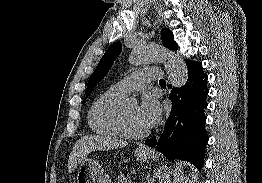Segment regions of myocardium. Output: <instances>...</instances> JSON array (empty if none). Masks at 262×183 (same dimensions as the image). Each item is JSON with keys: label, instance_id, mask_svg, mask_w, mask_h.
I'll list each match as a JSON object with an SVG mask.
<instances>
[{"label": "myocardium", "instance_id": "1", "mask_svg": "<svg viewBox=\"0 0 262 183\" xmlns=\"http://www.w3.org/2000/svg\"><path fill=\"white\" fill-rule=\"evenodd\" d=\"M119 125H120V128L124 136L129 137V138L139 139V138L146 137L150 133L149 130H145V131L133 130L128 123L124 109H121L120 114H119Z\"/></svg>", "mask_w": 262, "mask_h": 183}]
</instances>
